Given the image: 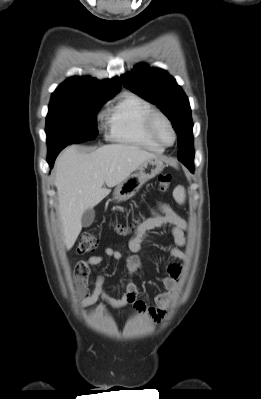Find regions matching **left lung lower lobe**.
Returning a JSON list of instances; mask_svg holds the SVG:
<instances>
[{
    "instance_id": "obj_1",
    "label": "left lung lower lobe",
    "mask_w": 261,
    "mask_h": 399,
    "mask_svg": "<svg viewBox=\"0 0 261 399\" xmlns=\"http://www.w3.org/2000/svg\"><path fill=\"white\" fill-rule=\"evenodd\" d=\"M182 163L190 170V172L193 173L194 171L193 162H182Z\"/></svg>"
}]
</instances>
